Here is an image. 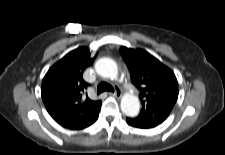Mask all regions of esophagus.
I'll use <instances>...</instances> for the list:
<instances>
[{"mask_svg": "<svg viewBox=\"0 0 225 155\" xmlns=\"http://www.w3.org/2000/svg\"><path fill=\"white\" fill-rule=\"evenodd\" d=\"M111 95L120 98L122 96V92L120 89H116L114 92L110 93Z\"/></svg>", "mask_w": 225, "mask_h": 155, "instance_id": "34e87169", "label": "esophagus"}]
</instances>
